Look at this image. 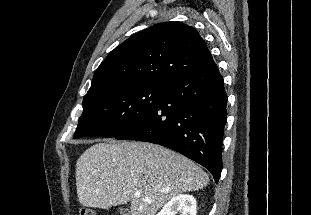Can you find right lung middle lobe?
Masks as SVG:
<instances>
[{
	"label": "right lung middle lobe",
	"instance_id": "1",
	"mask_svg": "<svg viewBox=\"0 0 311 215\" xmlns=\"http://www.w3.org/2000/svg\"><path fill=\"white\" fill-rule=\"evenodd\" d=\"M163 96V84L110 88L86 96L74 137H115L151 113Z\"/></svg>",
	"mask_w": 311,
	"mask_h": 215
}]
</instances>
